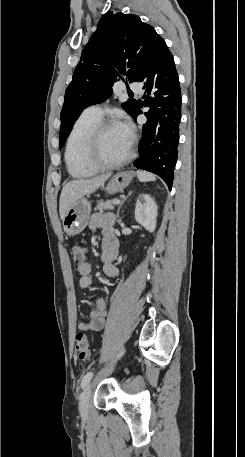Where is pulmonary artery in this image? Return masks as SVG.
Returning a JSON list of instances; mask_svg holds the SVG:
<instances>
[{
  "label": "pulmonary artery",
  "instance_id": "1",
  "mask_svg": "<svg viewBox=\"0 0 245 457\" xmlns=\"http://www.w3.org/2000/svg\"><path fill=\"white\" fill-rule=\"evenodd\" d=\"M128 88L129 90H142L143 88V83L142 81H129L128 83ZM138 95L140 94L139 92L137 93ZM140 99L142 98L141 96L139 97ZM102 108L97 106V105H92L84 109L83 113L84 115H89L92 117L96 118H101L102 116Z\"/></svg>",
  "mask_w": 245,
  "mask_h": 457
}]
</instances>
